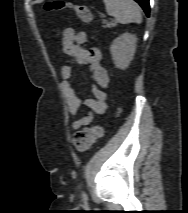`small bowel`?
<instances>
[{"label":"small bowel","instance_id":"obj_1","mask_svg":"<svg viewBox=\"0 0 188 213\" xmlns=\"http://www.w3.org/2000/svg\"><path fill=\"white\" fill-rule=\"evenodd\" d=\"M88 42V34L85 31H76L67 28L63 32L62 46L66 55L79 64L86 65L91 71L94 80L92 93L94 98L83 100L74 90L70 80L73 76V66L65 64L61 68V78L63 79L62 90L67 100L68 112L70 115L76 114L78 109L85 105L89 111L83 117L74 120L71 124L73 130H78L89 125L94 115H103L107 110V87L110 77L107 70L102 65V53L97 47L85 48Z\"/></svg>","mask_w":188,"mask_h":213}]
</instances>
